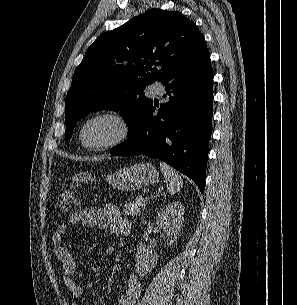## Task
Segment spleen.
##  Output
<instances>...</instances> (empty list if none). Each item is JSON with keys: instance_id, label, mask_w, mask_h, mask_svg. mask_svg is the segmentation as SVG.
<instances>
[{"instance_id": "1", "label": "spleen", "mask_w": 297, "mask_h": 305, "mask_svg": "<svg viewBox=\"0 0 297 305\" xmlns=\"http://www.w3.org/2000/svg\"><path fill=\"white\" fill-rule=\"evenodd\" d=\"M160 167L163 172L169 194L173 195L179 192L183 187V180L180 174L164 162H160Z\"/></svg>"}]
</instances>
